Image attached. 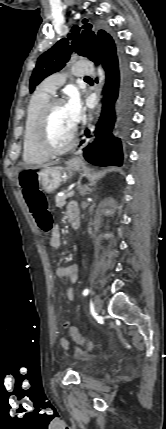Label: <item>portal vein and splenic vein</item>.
<instances>
[{"mask_svg":"<svg viewBox=\"0 0 166 429\" xmlns=\"http://www.w3.org/2000/svg\"><path fill=\"white\" fill-rule=\"evenodd\" d=\"M74 196V191L72 190V191H70L68 194H67V197L68 198H71V197H73Z\"/></svg>","mask_w":166,"mask_h":429,"instance_id":"portal-vein-and-splenic-vein-1","label":"portal vein and splenic vein"}]
</instances>
